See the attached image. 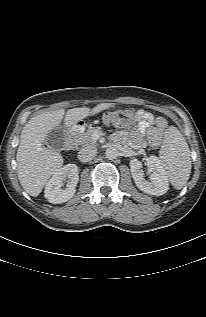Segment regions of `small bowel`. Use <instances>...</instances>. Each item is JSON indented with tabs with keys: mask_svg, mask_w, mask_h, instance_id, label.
Listing matches in <instances>:
<instances>
[{
	"mask_svg": "<svg viewBox=\"0 0 206 317\" xmlns=\"http://www.w3.org/2000/svg\"><path fill=\"white\" fill-rule=\"evenodd\" d=\"M137 121L136 128L131 132H119L116 138L119 140H128L129 144L134 148H142L146 145L145 137L148 139V144L152 148H158L165 129L167 121L164 117H155L151 113L138 110L135 113Z\"/></svg>",
	"mask_w": 206,
	"mask_h": 317,
	"instance_id": "1",
	"label": "small bowel"
}]
</instances>
